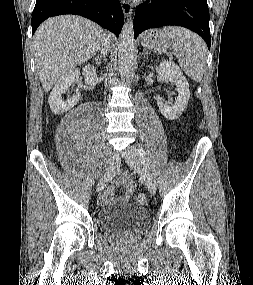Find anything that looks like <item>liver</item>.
Returning <instances> with one entry per match:
<instances>
[{"label":"liver","mask_w":253,"mask_h":285,"mask_svg":"<svg viewBox=\"0 0 253 285\" xmlns=\"http://www.w3.org/2000/svg\"><path fill=\"white\" fill-rule=\"evenodd\" d=\"M104 40L110 44L111 33L83 17L61 15L42 23L34 36V56L44 90L90 59Z\"/></svg>","instance_id":"1"}]
</instances>
